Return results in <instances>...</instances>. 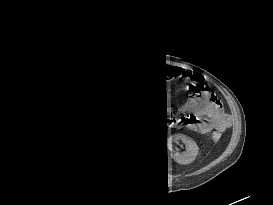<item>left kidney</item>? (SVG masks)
Returning a JSON list of instances; mask_svg holds the SVG:
<instances>
[{
  "instance_id": "obj_1",
  "label": "left kidney",
  "mask_w": 273,
  "mask_h": 205,
  "mask_svg": "<svg viewBox=\"0 0 273 205\" xmlns=\"http://www.w3.org/2000/svg\"><path fill=\"white\" fill-rule=\"evenodd\" d=\"M182 142L186 151L180 152L175 144ZM167 148L171 153L172 158L179 164H189L193 162L199 152V148L195 141L185 135H174L168 139Z\"/></svg>"
}]
</instances>
